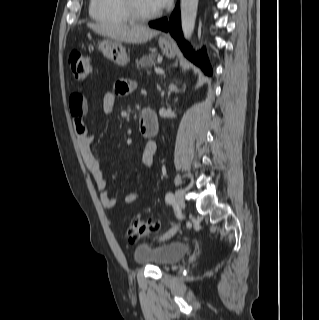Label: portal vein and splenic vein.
<instances>
[{
  "instance_id": "portal-vein-and-splenic-vein-1",
  "label": "portal vein and splenic vein",
  "mask_w": 319,
  "mask_h": 320,
  "mask_svg": "<svg viewBox=\"0 0 319 320\" xmlns=\"http://www.w3.org/2000/svg\"><path fill=\"white\" fill-rule=\"evenodd\" d=\"M154 71H155L157 74H163V73H164V71H163L161 68H157V67L154 68Z\"/></svg>"
}]
</instances>
